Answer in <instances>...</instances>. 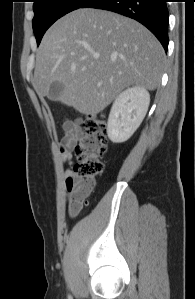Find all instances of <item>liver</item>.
I'll return each instance as SVG.
<instances>
[{"label":"liver","mask_w":195,"mask_h":299,"mask_svg":"<svg viewBox=\"0 0 195 299\" xmlns=\"http://www.w3.org/2000/svg\"><path fill=\"white\" fill-rule=\"evenodd\" d=\"M165 59L160 42L137 21L110 11L80 8L45 33L33 86L39 96L51 99L50 86L59 82L64 90L54 100L95 116L131 85L154 90Z\"/></svg>","instance_id":"6515ba94"}]
</instances>
